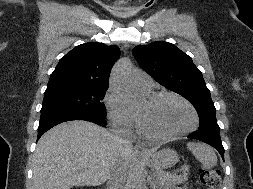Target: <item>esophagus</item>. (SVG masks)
<instances>
[{
  "mask_svg": "<svg viewBox=\"0 0 253 189\" xmlns=\"http://www.w3.org/2000/svg\"><path fill=\"white\" fill-rule=\"evenodd\" d=\"M133 152H134V154H136V155H144V154H146L145 149L142 148V147L139 146V145H135V146H134Z\"/></svg>",
  "mask_w": 253,
  "mask_h": 189,
  "instance_id": "1",
  "label": "esophagus"
}]
</instances>
